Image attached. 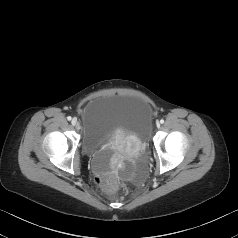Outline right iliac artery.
Listing matches in <instances>:
<instances>
[{"instance_id": "1", "label": "right iliac artery", "mask_w": 238, "mask_h": 238, "mask_svg": "<svg viewBox=\"0 0 238 238\" xmlns=\"http://www.w3.org/2000/svg\"><path fill=\"white\" fill-rule=\"evenodd\" d=\"M67 119H68V121H70L72 118H71V116H68Z\"/></svg>"}]
</instances>
